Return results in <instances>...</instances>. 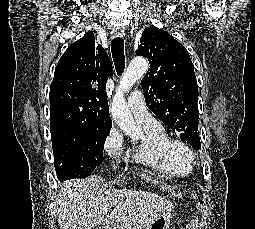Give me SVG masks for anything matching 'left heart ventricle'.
<instances>
[{
    "label": "left heart ventricle",
    "mask_w": 255,
    "mask_h": 229,
    "mask_svg": "<svg viewBox=\"0 0 255 229\" xmlns=\"http://www.w3.org/2000/svg\"><path fill=\"white\" fill-rule=\"evenodd\" d=\"M175 157L177 159H183L184 158V154L180 150H175Z\"/></svg>",
    "instance_id": "obj_1"
}]
</instances>
